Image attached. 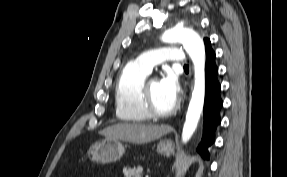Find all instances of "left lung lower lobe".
Returning <instances> with one entry per match:
<instances>
[{"instance_id": "obj_1", "label": "left lung lower lobe", "mask_w": 287, "mask_h": 177, "mask_svg": "<svg viewBox=\"0 0 287 177\" xmlns=\"http://www.w3.org/2000/svg\"><path fill=\"white\" fill-rule=\"evenodd\" d=\"M205 43V102H204V129L203 137L197 147V152L204 158L209 159L208 148L214 143L215 131L221 123L220 110L223 101L220 96L221 85L218 81V68L215 64V52L211 47L210 40Z\"/></svg>"}]
</instances>
